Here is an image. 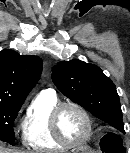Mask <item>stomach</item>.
<instances>
[{
    "instance_id": "0dacf381",
    "label": "stomach",
    "mask_w": 130,
    "mask_h": 153,
    "mask_svg": "<svg viewBox=\"0 0 130 153\" xmlns=\"http://www.w3.org/2000/svg\"><path fill=\"white\" fill-rule=\"evenodd\" d=\"M76 153H87V152H84V151H77Z\"/></svg>"
}]
</instances>
